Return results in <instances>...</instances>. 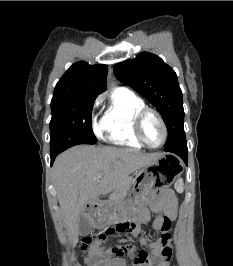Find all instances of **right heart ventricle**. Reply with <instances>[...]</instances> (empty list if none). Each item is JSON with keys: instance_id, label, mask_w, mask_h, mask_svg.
Returning a JSON list of instances; mask_svg holds the SVG:
<instances>
[{"instance_id": "e07e8e85", "label": "right heart ventricle", "mask_w": 233, "mask_h": 266, "mask_svg": "<svg viewBox=\"0 0 233 266\" xmlns=\"http://www.w3.org/2000/svg\"><path fill=\"white\" fill-rule=\"evenodd\" d=\"M144 107L143 99L130 89L115 88L102 119L107 141L115 145L142 148L143 145L134 134L133 124L137 112Z\"/></svg>"}]
</instances>
